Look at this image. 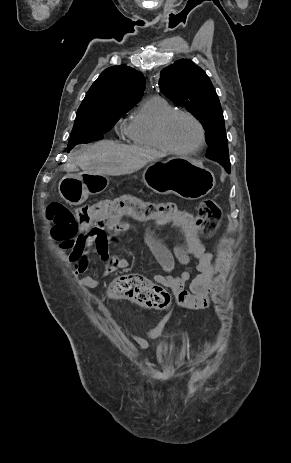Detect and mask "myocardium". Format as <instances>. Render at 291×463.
Returning <instances> with one entry per match:
<instances>
[{
    "instance_id": "1",
    "label": "myocardium",
    "mask_w": 291,
    "mask_h": 463,
    "mask_svg": "<svg viewBox=\"0 0 291 463\" xmlns=\"http://www.w3.org/2000/svg\"><path fill=\"white\" fill-rule=\"evenodd\" d=\"M187 117L192 120L200 131V138L196 146L189 148V149H180L175 147L169 140L167 130L170 123L177 117ZM158 136L159 139L164 147V149L170 153L177 154V155H190L199 152L205 145L206 142V130L203 123L192 113L186 111H178L175 110L165 116L159 124L158 127Z\"/></svg>"
}]
</instances>
